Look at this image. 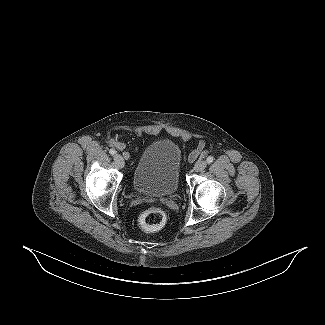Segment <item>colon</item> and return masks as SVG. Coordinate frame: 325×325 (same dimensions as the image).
Returning a JSON list of instances; mask_svg holds the SVG:
<instances>
[{
	"label": "colon",
	"mask_w": 325,
	"mask_h": 325,
	"mask_svg": "<svg viewBox=\"0 0 325 325\" xmlns=\"http://www.w3.org/2000/svg\"><path fill=\"white\" fill-rule=\"evenodd\" d=\"M166 223V215L160 208H150L140 218L141 226L147 231H156Z\"/></svg>",
	"instance_id": "colon-1"
}]
</instances>
